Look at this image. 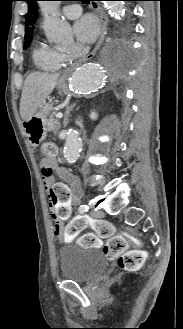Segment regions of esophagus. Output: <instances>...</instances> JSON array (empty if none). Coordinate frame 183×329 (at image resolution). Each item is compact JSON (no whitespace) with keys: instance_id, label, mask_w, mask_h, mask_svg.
<instances>
[{"instance_id":"1","label":"esophagus","mask_w":183,"mask_h":329,"mask_svg":"<svg viewBox=\"0 0 183 329\" xmlns=\"http://www.w3.org/2000/svg\"><path fill=\"white\" fill-rule=\"evenodd\" d=\"M92 8H93L94 12L98 15L99 20H100V24H101L100 36H99V39H98L95 47L93 48V50L89 54H87L86 56H84L82 58V60H80L78 62V64L82 63L83 61L90 60L91 58L94 57V55L96 54L97 50L101 47L102 43L104 42V39H105V36H106V33H107L108 19H107L106 15L104 14L102 7L97 2L93 1ZM78 64H76V65H78ZM75 66H73V67H75ZM71 69L72 68H70L69 70H67L61 76L60 79L61 80H65L66 79V76H67V73Z\"/></svg>"}]
</instances>
